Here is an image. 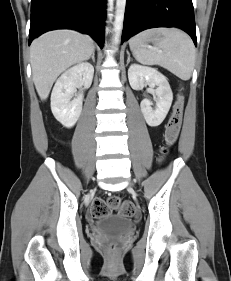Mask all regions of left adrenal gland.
<instances>
[{"instance_id":"a2214340","label":"left adrenal gland","mask_w":231,"mask_h":281,"mask_svg":"<svg viewBox=\"0 0 231 281\" xmlns=\"http://www.w3.org/2000/svg\"><path fill=\"white\" fill-rule=\"evenodd\" d=\"M127 55H128V59H127V64H128L130 62V60H131L129 51H127Z\"/></svg>"}]
</instances>
